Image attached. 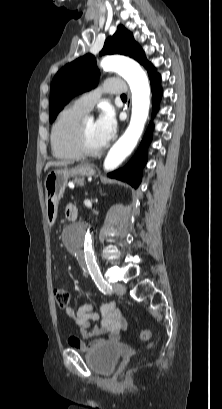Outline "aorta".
Segmentation results:
<instances>
[{
    "label": "aorta",
    "instance_id": "obj_1",
    "mask_svg": "<svg viewBox=\"0 0 222 409\" xmlns=\"http://www.w3.org/2000/svg\"><path fill=\"white\" fill-rule=\"evenodd\" d=\"M101 67L121 75L128 82L132 93L130 123L104 160V169L109 172L116 169L132 153L143 133L150 107V86L140 65L129 58L108 56L101 61ZM66 236L69 239L66 243L69 251L85 260L91 271L97 270L89 225L77 222L67 229Z\"/></svg>",
    "mask_w": 222,
    "mask_h": 409
}]
</instances>
